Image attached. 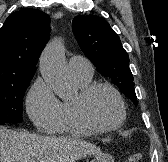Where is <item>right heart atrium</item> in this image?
Here are the masks:
<instances>
[{"mask_svg": "<svg viewBox=\"0 0 168 162\" xmlns=\"http://www.w3.org/2000/svg\"><path fill=\"white\" fill-rule=\"evenodd\" d=\"M26 109L35 126L42 132H52L62 119V103L41 77L36 79L27 93Z\"/></svg>", "mask_w": 168, "mask_h": 162, "instance_id": "obj_1", "label": "right heart atrium"}]
</instances>
